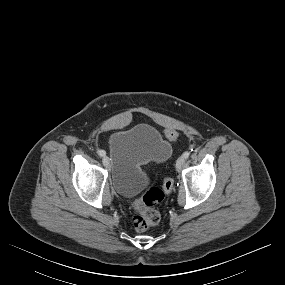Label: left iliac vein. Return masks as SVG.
Returning <instances> with one entry per match:
<instances>
[{"instance_id": "1", "label": "left iliac vein", "mask_w": 285, "mask_h": 285, "mask_svg": "<svg viewBox=\"0 0 285 285\" xmlns=\"http://www.w3.org/2000/svg\"><path fill=\"white\" fill-rule=\"evenodd\" d=\"M185 158L183 156L179 157L176 161V169L180 171L185 163Z\"/></svg>"}]
</instances>
